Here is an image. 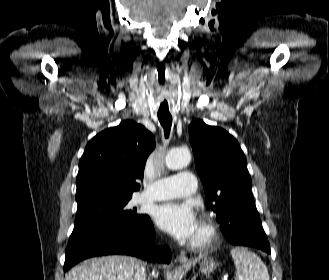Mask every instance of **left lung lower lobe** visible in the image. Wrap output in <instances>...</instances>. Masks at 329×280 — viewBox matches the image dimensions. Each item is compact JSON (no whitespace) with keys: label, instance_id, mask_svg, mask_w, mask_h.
I'll return each mask as SVG.
<instances>
[{"label":"left lung lower lobe","instance_id":"left-lung-lower-lobe-1","mask_svg":"<svg viewBox=\"0 0 329 280\" xmlns=\"http://www.w3.org/2000/svg\"><path fill=\"white\" fill-rule=\"evenodd\" d=\"M222 231L227 241L233 245L250 246L270 253V246L264 229L260 223L259 213L253 202H250L237 217Z\"/></svg>","mask_w":329,"mask_h":280}]
</instances>
